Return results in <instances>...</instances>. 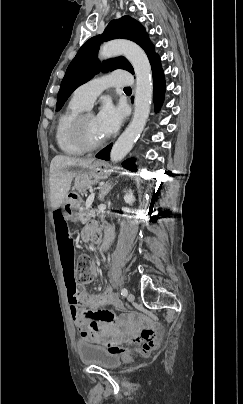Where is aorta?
I'll return each instance as SVG.
<instances>
[{
	"label": "aorta",
	"mask_w": 243,
	"mask_h": 404,
	"mask_svg": "<svg viewBox=\"0 0 243 404\" xmlns=\"http://www.w3.org/2000/svg\"><path fill=\"white\" fill-rule=\"evenodd\" d=\"M114 56H125L132 64L136 76L133 118L110 152L111 162H121L131 152L146 126L150 114L153 84L149 60L137 44L129 40H111L101 46L100 60H107Z\"/></svg>",
	"instance_id": "obj_1"
}]
</instances>
